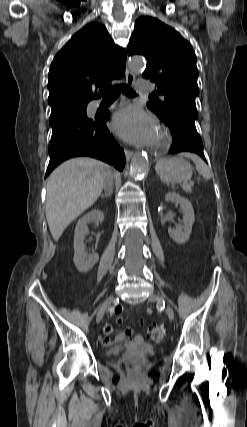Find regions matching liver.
<instances>
[{
    "label": "liver",
    "instance_id": "obj_1",
    "mask_svg": "<svg viewBox=\"0 0 247 427\" xmlns=\"http://www.w3.org/2000/svg\"><path fill=\"white\" fill-rule=\"evenodd\" d=\"M109 175H112L109 165L86 157L70 159L50 174L46 219L55 241L72 221L95 203Z\"/></svg>",
    "mask_w": 247,
    "mask_h": 427
}]
</instances>
